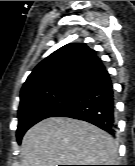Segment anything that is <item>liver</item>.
Listing matches in <instances>:
<instances>
[{
    "mask_svg": "<svg viewBox=\"0 0 135 166\" xmlns=\"http://www.w3.org/2000/svg\"><path fill=\"white\" fill-rule=\"evenodd\" d=\"M21 154V166L113 165L117 146L108 133L95 125L51 117L26 132Z\"/></svg>",
    "mask_w": 135,
    "mask_h": 166,
    "instance_id": "1",
    "label": "liver"
}]
</instances>
